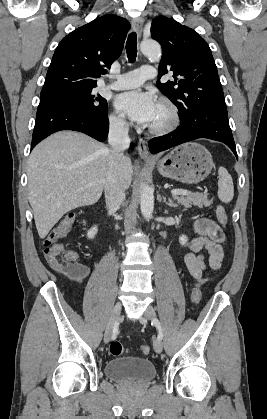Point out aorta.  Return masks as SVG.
Returning a JSON list of instances; mask_svg holds the SVG:
<instances>
[{
  "mask_svg": "<svg viewBox=\"0 0 267 419\" xmlns=\"http://www.w3.org/2000/svg\"><path fill=\"white\" fill-rule=\"evenodd\" d=\"M140 49L150 60L157 61L161 58V47L155 41L142 42ZM140 208L144 218L149 220L154 209V195L153 189L145 182L141 183L140 186Z\"/></svg>",
  "mask_w": 267,
  "mask_h": 419,
  "instance_id": "762f6f07",
  "label": "aorta"
}]
</instances>
